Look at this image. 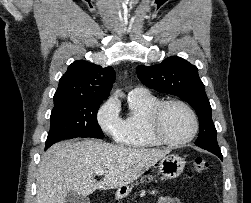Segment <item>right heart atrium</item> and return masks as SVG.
<instances>
[{
    "instance_id": "d8ad5b80",
    "label": "right heart atrium",
    "mask_w": 251,
    "mask_h": 203,
    "mask_svg": "<svg viewBox=\"0 0 251 203\" xmlns=\"http://www.w3.org/2000/svg\"><path fill=\"white\" fill-rule=\"evenodd\" d=\"M97 121L101 129L108 135L116 136L122 128L123 120L119 115L115 99H108L99 109Z\"/></svg>"
}]
</instances>
